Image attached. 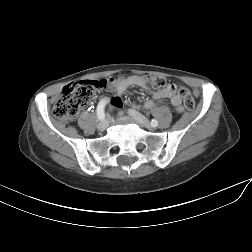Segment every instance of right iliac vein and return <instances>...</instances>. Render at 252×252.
<instances>
[{
	"label": "right iliac vein",
	"mask_w": 252,
	"mask_h": 252,
	"mask_svg": "<svg viewBox=\"0 0 252 252\" xmlns=\"http://www.w3.org/2000/svg\"><path fill=\"white\" fill-rule=\"evenodd\" d=\"M107 126H108V120L105 119L104 122H100V123L97 125V129H98L99 131H104V130H106Z\"/></svg>",
	"instance_id": "63e3f726"
}]
</instances>
